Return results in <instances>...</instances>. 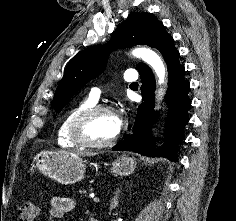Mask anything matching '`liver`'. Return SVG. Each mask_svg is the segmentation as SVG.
I'll list each match as a JSON object with an SVG mask.
<instances>
[{"label":"liver","mask_w":236,"mask_h":221,"mask_svg":"<svg viewBox=\"0 0 236 221\" xmlns=\"http://www.w3.org/2000/svg\"><path fill=\"white\" fill-rule=\"evenodd\" d=\"M73 153L80 155V156H93V155H95L94 153H87V152H80V151H74Z\"/></svg>","instance_id":"6515ba94"}]
</instances>
